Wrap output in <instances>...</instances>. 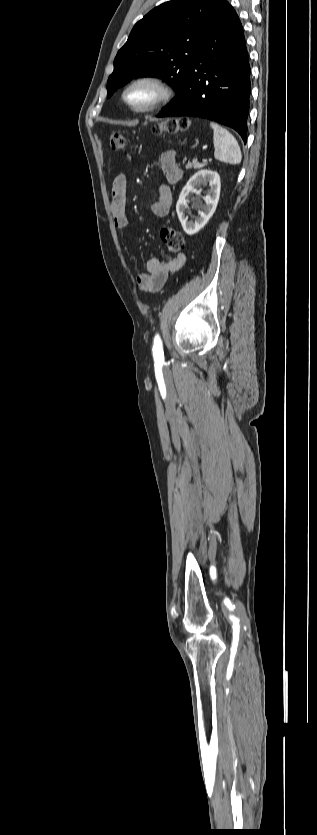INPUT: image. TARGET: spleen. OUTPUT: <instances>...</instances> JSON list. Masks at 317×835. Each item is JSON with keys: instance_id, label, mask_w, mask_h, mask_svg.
<instances>
[{"instance_id": "obj_1", "label": "spleen", "mask_w": 317, "mask_h": 835, "mask_svg": "<svg viewBox=\"0 0 317 835\" xmlns=\"http://www.w3.org/2000/svg\"><path fill=\"white\" fill-rule=\"evenodd\" d=\"M213 129L214 157L225 163L239 164L242 154L237 140L225 128L215 122L210 123Z\"/></svg>"}]
</instances>
